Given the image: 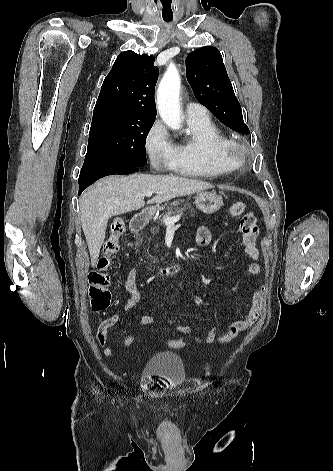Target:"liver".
I'll return each instance as SVG.
<instances>
[{"label":"liver","mask_w":333,"mask_h":471,"mask_svg":"<svg viewBox=\"0 0 333 471\" xmlns=\"http://www.w3.org/2000/svg\"><path fill=\"white\" fill-rule=\"evenodd\" d=\"M211 184L173 175L135 174L105 177L80 197L81 225L87 241L91 265L95 266L105 239L108 220L144 207L147 192L156 195L148 204L162 203L178 196L211 189Z\"/></svg>","instance_id":"obj_1"}]
</instances>
